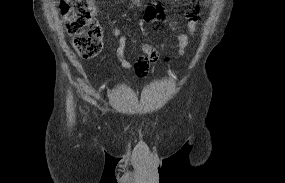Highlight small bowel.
Wrapping results in <instances>:
<instances>
[{
	"label": "small bowel",
	"mask_w": 285,
	"mask_h": 183,
	"mask_svg": "<svg viewBox=\"0 0 285 183\" xmlns=\"http://www.w3.org/2000/svg\"><path fill=\"white\" fill-rule=\"evenodd\" d=\"M209 0H203V3H207ZM87 7L89 12L92 15H96L98 10L95 4L94 0H88L87 1ZM164 12L160 5L158 3L152 5L147 10L144 20L148 24H160L164 20ZM198 17H199V9L196 6V4H193L191 8L188 9L186 14V27H187V33L185 32H179L176 35V42H177V54L182 56L185 54V51L188 47L189 43V37H192L195 35L196 29L198 27ZM113 34L117 36L118 44L115 47V53H116V59L118 63L126 69H130L133 65L128 60L125 49L127 45V37L122 34L121 30L118 27H113ZM142 54L137 59L135 66L137 64H145L147 68L155 65L159 59V54L156 48L151 44H143L141 46Z\"/></svg>",
	"instance_id": "c3829d8e"
}]
</instances>
